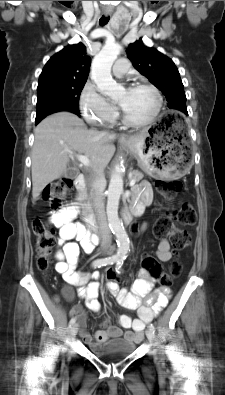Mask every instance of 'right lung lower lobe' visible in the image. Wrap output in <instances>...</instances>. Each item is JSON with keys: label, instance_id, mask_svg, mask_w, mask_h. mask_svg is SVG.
<instances>
[{"label": "right lung lower lobe", "instance_id": "right-lung-lower-lobe-1", "mask_svg": "<svg viewBox=\"0 0 225 395\" xmlns=\"http://www.w3.org/2000/svg\"><path fill=\"white\" fill-rule=\"evenodd\" d=\"M58 111H71V112H73L74 114L80 116L79 109H75V108H72V107H66V108L60 109V110H58ZM45 117H46V116H45ZM43 118H44V117H43ZM43 118L36 119V120H35V124L37 125Z\"/></svg>", "mask_w": 225, "mask_h": 395}]
</instances>
